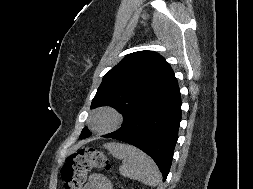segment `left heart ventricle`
I'll return each instance as SVG.
<instances>
[{
    "label": "left heart ventricle",
    "mask_w": 253,
    "mask_h": 189,
    "mask_svg": "<svg viewBox=\"0 0 253 189\" xmlns=\"http://www.w3.org/2000/svg\"><path fill=\"white\" fill-rule=\"evenodd\" d=\"M108 123H109V118L106 115L100 116L96 121L97 127H100V128L107 126Z\"/></svg>",
    "instance_id": "b2bd125f"
}]
</instances>
